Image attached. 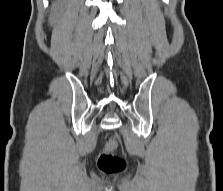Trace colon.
Listing matches in <instances>:
<instances>
[{
  "label": "colon",
  "mask_w": 223,
  "mask_h": 191,
  "mask_svg": "<svg viewBox=\"0 0 223 191\" xmlns=\"http://www.w3.org/2000/svg\"><path fill=\"white\" fill-rule=\"evenodd\" d=\"M117 145V140L111 138L98 157V167L105 174H118L126 168L125 160L113 153Z\"/></svg>",
  "instance_id": "obj_1"
}]
</instances>
